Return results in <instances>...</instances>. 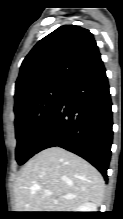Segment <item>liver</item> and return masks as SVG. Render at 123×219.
<instances>
[{
	"instance_id": "liver-1",
	"label": "liver",
	"mask_w": 123,
	"mask_h": 219,
	"mask_svg": "<svg viewBox=\"0 0 123 219\" xmlns=\"http://www.w3.org/2000/svg\"><path fill=\"white\" fill-rule=\"evenodd\" d=\"M49 190L52 194L45 195ZM100 172L83 158L60 147H51L31 158L14 186L16 212H76L88 202L104 199ZM63 196H72L65 199Z\"/></svg>"
}]
</instances>
